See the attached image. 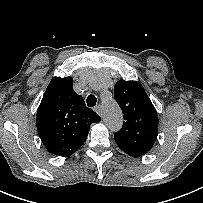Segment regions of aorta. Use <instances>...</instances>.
<instances>
[{
    "instance_id": "obj_1",
    "label": "aorta",
    "mask_w": 203,
    "mask_h": 203,
    "mask_svg": "<svg viewBox=\"0 0 203 203\" xmlns=\"http://www.w3.org/2000/svg\"><path fill=\"white\" fill-rule=\"evenodd\" d=\"M103 117L110 130L117 131L121 128L123 123L122 112L112 97L103 101Z\"/></svg>"
}]
</instances>
